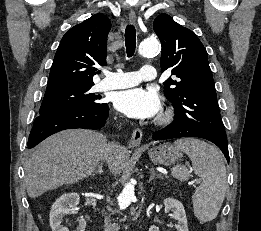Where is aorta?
Wrapping results in <instances>:
<instances>
[{
  "label": "aorta",
  "instance_id": "obj_1",
  "mask_svg": "<svg viewBox=\"0 0 261 231\" xmlns=\"http://www.w3.org/2000/svg\"><path fill=\"white\" fill-rule=\"evenodd\" d=\"M160 51V44L157 40L147 39L140 43L139 53L144 57H151L158 54ZM135 188L132 182L125 185L121 194L118 197V204L121 210L126 209L132 202L135 192Z\"/></svg>",
  "mask_w": 261,
  "mask_h": 231
}]
</instances>
